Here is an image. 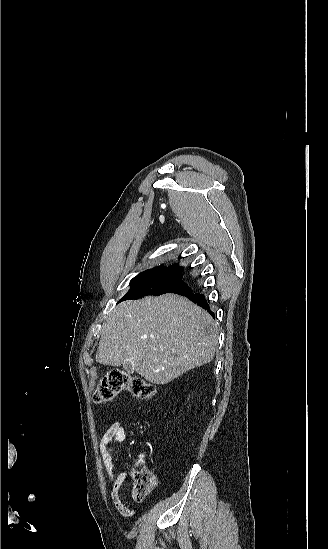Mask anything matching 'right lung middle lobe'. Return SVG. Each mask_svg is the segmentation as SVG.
Returning a JSON list of instances; mask_svg holds the SVG:
<instances>
[{"label": "right lung middle lobe", "instance_id": "dd1d6c3e", "mask_svg": "<svg viewBox=\"0 0 328 549\" xmlns=\"http://www.w3.org/2000/svg\"><path fill=\"white\" fill-rule=\"evenodd\" d=\"M130 286V290L122 300L138 299L147 295H161L165 293L183 294L184 292L191 291L187 284L182 281L181 272L158 270L140 273L131 280Z\"/></svg>", "mask_w": 328, "mask_h": 549}]
</instances>
